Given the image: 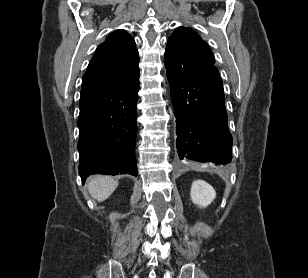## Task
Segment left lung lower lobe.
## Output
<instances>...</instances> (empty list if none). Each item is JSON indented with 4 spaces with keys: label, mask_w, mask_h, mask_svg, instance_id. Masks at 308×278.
I'll use <instances>...</instances> for the list:
<instances>
[{
    "label": "left lung lower lobe",
    "mask_w": 308,
    "mask_h": 278,
    "mask_svg": "<svg viewBox=\"0 0 308 278\" xmlns=\"http://www.w3.org/2000/svg\"><path fill=\"white\" fill-rule=\"evenodd\" d=\"M166 72L176 117L179 158L223 165L230 162L232 136L218 69L213 66L187 74Z\"/></svg>",
    "instance_id": "left-lung-lower-lobe-1"
}]
</instances>
